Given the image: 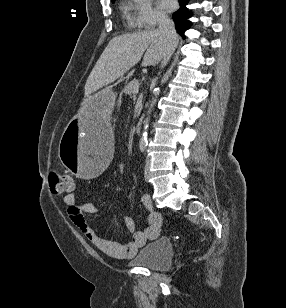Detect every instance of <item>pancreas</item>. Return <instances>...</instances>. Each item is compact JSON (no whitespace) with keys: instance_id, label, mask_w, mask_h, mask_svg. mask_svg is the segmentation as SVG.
<instances>
[{"instance_id":"obj_1","label":"pancreas","mask_w":286,"mask_h":308,"mask_svg":"<svg viewBox=\"0 0 286 308\" xmlns=\"http://www.w3.org/2000/svg\"><path fill=\"white\" fill-rule=\"evenodd\" d=\"M139 85V80L134 79L133 81H131L127 86L124 87L123 89V93L128 94V95H132L134 94V88Z\"/></svg>"}]
</instances>
